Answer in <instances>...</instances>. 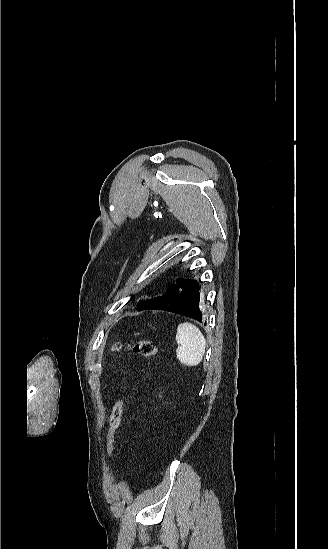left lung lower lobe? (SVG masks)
I'll use <instances>...</instances> for the list:
<instances>
[{
  "mask_svg": "<svg viewBox=\"0 0 328 549\" xmlns=\"http://www.w3.org/2000/svg\"><path fill=\"white\" fill-rule=\"evenodd\" d=\"M178 295L173 299L159 300L150 303L140 310H163L177 313L202 322L200 307V290L198 284L192 279H182L178 283Z\"/></svg>",
  "mask_w": 328,
  "mask_h": 549,
  "instance_id": "obj_1",
  "label": "left lung lower lobe"
}]
</instances>
